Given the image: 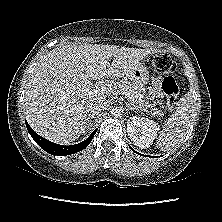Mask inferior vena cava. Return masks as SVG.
<instances>
[{
  "label": "inferior vena cava",
  "instance_id": "1",
  "mask_svg": "<svg viewBox=\"0 0 222 222\" xmlns=\"http://www.w3.org/2000/svg\"><path fill=\"white\" fill-rule=\"evenodd\" d=\"M107 106L108 100H106V98H101L91 106V112L93 113V115H98L106 110Z\"/></svg>",
  "mask_w": 222,
  "mask_h": 222
}]
</instances>
